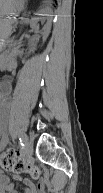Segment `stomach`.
Segmentation results:
<instances>
[{
	"instance_id": "stomach-1",
	"label": "stomach",
	"mask_w": 103,
	"mask_h": 193,
	"mask_svg": "<svg viewBox=\"0 0 103 193\" xmlns=\"http://www.w3.org/2000/svg\"><path fill=\"white\" fill-rule=\"evenodd\" d=\"M23 4L24 0H5L3 6L1 7V14L3 16H10L16 14L23 9ZM8 30L9 28L7 27H4L3 29L5 34H7Z\"/></svg>"
}]
</instances>
